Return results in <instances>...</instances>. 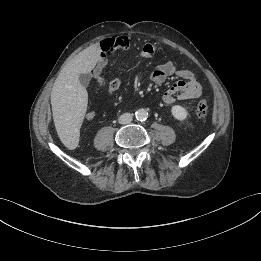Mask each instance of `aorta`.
<instances>
[{
    "label": "aorta",
    "mask_w": 261,
    "mask_h": 261,
    "mask_svg": "<svg viewBox=\"0 0 261 261\" xmlns=\"http://www.w3.org/2000/svg\"><path fill=\"white\" fill-rule=\"evenodd\" d=\"M136 119L144 121L148 118V112L145 109H139L135 113Z\"/></svg>",
    "instance_id": "1"
}]
</instances>
